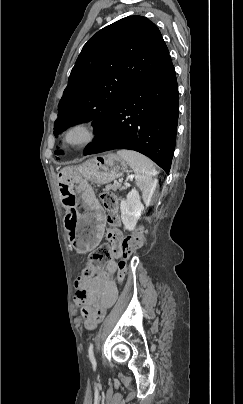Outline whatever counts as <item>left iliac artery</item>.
<instances>
[{
    "label": "left iliac artery",
    "instance_id": "1",
    "mask_svg": "<svg viewBox=\"0 0 243 404\" xmlns=\"http://www.w3.org/2000/svg\"><path fill=\"white\" fill-rule=\"evenodd\" d=\"M88 356H89V359H90V361H91V363H92V366L95 368V367H96V360H95L94 352H93V344H91V345L89 346V349H88Z\"/></svg>",
    "mask_w": 243,
    "mask_h": 404
}]
</instances>
